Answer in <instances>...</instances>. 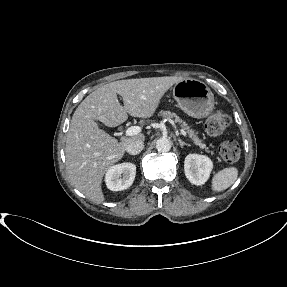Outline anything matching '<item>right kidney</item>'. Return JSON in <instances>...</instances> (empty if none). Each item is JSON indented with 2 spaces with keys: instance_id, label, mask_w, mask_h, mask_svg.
I'll use <instances>...</instances> for the list:
<instances>
[{
  "instance_id": "1",
  "label": "right kidney",
  "mask_w": 287,
  "mask_h": 287,
  "mask_svg": "<svg viewBox=\"0 0 287 287\" xmlns=\"http://www.w3.org/2000/svg\"><path fill=\"white\" fill-rule=\"evenodd\" d=\"M136 166L133 163H121L108 169L105 182L108 189L121 191L129 188L135 179Z\"/></svg>"
}]
</instances>
